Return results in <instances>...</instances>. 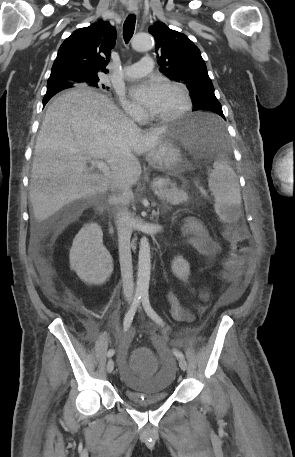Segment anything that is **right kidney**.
Returning a JSON list of instances; mask_svg holds the SVG:
<instances>
[{"instance_id": "ca27d5eb", "label": "right kidney", "mask_w": 295, "mask_h": 457, "mask_svg": "<svg viewBox=\"0 0 295 457\" xmlns=\"http://www.w3.org/2000/svg\"><path fill=\"white\" fill-rule=\"evenodd\" d=\"M70 267L85 283L101 285L113 272L112 257L103 245L100 226L90 223L78 232L70 249Z\"/></svg>"}]
</instances>
